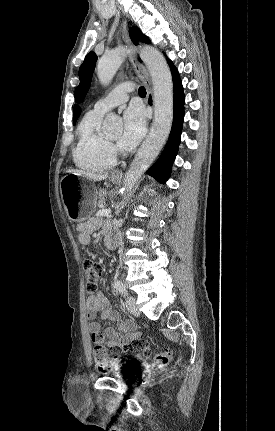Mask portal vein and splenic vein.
Wrapping results in <instances>:
<instances>
[{"label":"portal vein and splenic vein","mask_w":275,"mask_h":431,"mask_svg":"<svg viewBox=\"0 0 275 431\" xmlns=\"http://www.w3.org/2000/svg\"><path fill=\"white\" fill-rule=\"evenodd\" d=\"M109 214H111L110 209H102L96 213V216H108Z\"/></svg>","instance_id":"portal-vein-and-splenic-vein-1"}]
</instances>
